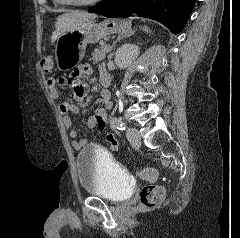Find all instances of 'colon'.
<instances>
[{
    "mask_svg": "<svg viewBox=\"0 0 240 238\" xmlns=\"http://www.w3.org/2000/svg\"><path fill=\"white\" fill-rule=\"evenodd\" d=\"M40 66L44 72H50L54 67V60L51 56H45L40 60ZM139 176L149 182L157 178V171L154 168H144L139 171ZM166 194V188L161 185L151 184L144 187L140 193V204L144 208H153L160 204Z\"/></svg>",
    "mask_w": 240,
    "mask_h": 238,
    "instance_id": "1",
    "label": "colon"
}]
</instances>
